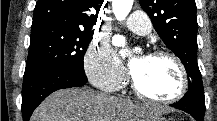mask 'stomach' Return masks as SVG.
Returning <instances> with one entry per match:
<instances>
[{"instance_id":"1","label":"stomach","mask_w":217,"mask_h":121,"mask_svg":"<svg viewBox=\"0 0 217 121\" xmlns=\"http://www.w3.org/2000/svg\"><path fill=\"white\" fill-rule=\"evenodd\" d=\"M151 121H166V119L160 115L152 117Z\"/></svg>"}]
</instances>
